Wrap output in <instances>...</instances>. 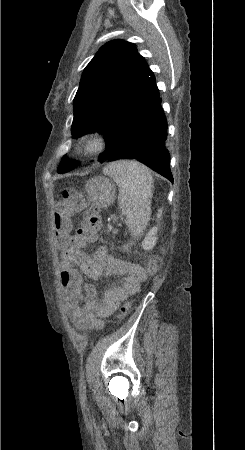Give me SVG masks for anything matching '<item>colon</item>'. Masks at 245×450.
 Here are the masks:
<instances>
[{
	"instance_id": "obj_1",
	"label": "colon",
	"mask_w": 245,
	"mask_h": 450,
	"mask_svg": "<svg viewBox=\"0 0 245 450\" xmlns=\"http://www.w3.org/2000/svg\"><path fill=\"white\" fill-rule=\"evenodd\" d=\"M76 213H82L83 219L78 229L72 233L71 217ZM53 227L56 245L60 251L80 250L87 244L96 242L98 232L101 229V221L96 207L85 193L77 189L67 188L55 201ZM157 270V259L145 261L144 273L147 276H154ZM128 307L129 303L123 305L121 311L125 312Z\"/></svg>"
}]
</instances>
